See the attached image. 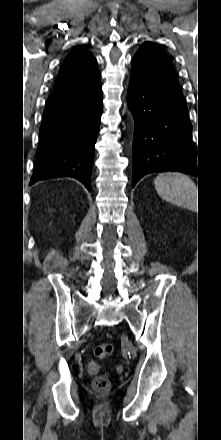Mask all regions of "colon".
Returning a JSON list of instances; mask_svg holds the SVG:
<instances>
[{
    "mask_svg": "<svg viewBox=\"0 0 221 440\" xmlns=\"http://www.w3.org/2000/svg\"><path fill=\"white\" fill-rule=\"evenodd\" d=\"M113 351V346L109 343H102L95 347L94 354L96 357L103 359L108 357ZM95 389L99 391H105L110 387V381L107 377L100 376L94 380L93 383Z\"/></svg>",
    "mask_w": 221,
    "mask_h": 440,
    "instance_id": "colon-1",
    "label": "colon"
}]
</instances>
